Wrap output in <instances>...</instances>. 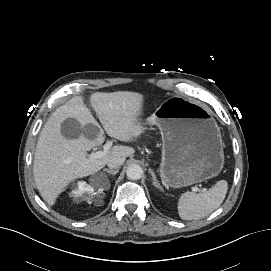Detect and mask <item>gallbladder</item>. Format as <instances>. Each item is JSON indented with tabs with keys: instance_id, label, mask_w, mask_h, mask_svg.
I'll list each match as a JSON object with an SVG mask.
<instances>
[{
	"instance_id": "1",
	"label": "gallbladder",
	"mask_w": 271,
	"mask_h": 271,
	"mask_svg": "<svg viewBox=\"0 0 271 271\" xmlns=\"http://www.w3.org/2000/svg\"><path fill=\"white\" fill-rule=\"evenodd\" d=\"M99 129L96 125L88 124L81 126L78 121L73 118L66 119L61 126V133L67 139H77L81 134L89 137L98 133Z\"/></svg>"
}]
</instances>
